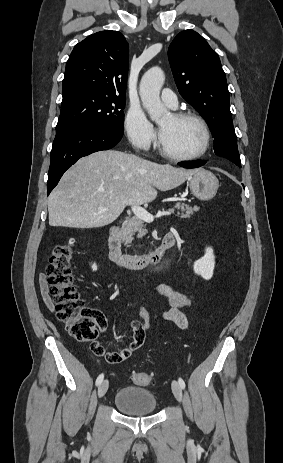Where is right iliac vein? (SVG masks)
Listing matches in <instances>:
<instances>
[{
	"label": "right iliac vein",
	"instance_id": "right-iliac-vein-1",
	"mask_svg": "<svg viewBox=\"0 0 283 463\" xmlns=\"http://www.w3.org/2000/svg\"><path fill=\"white\" fill-rule=\"evenodd\" d=\"M108 385H109L108 380H104L100 383L98 387V397L99 398H102L106 394L108 390Z\"/></svg>",
	"mask_w": 283,
	"mask_h": 463
}]
</instances>
